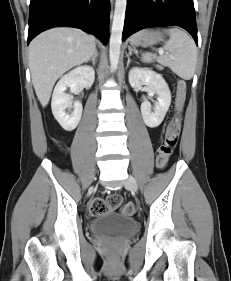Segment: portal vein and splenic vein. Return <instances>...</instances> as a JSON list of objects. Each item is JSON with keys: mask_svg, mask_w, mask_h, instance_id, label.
Instances as JSON below:
<instances>
[{"mask_svg": "<svg viewBox=\"0 0 231 281\" xmlns=\"http://www.w3.org/2000/svg\"><path fill=\"white\" fill-rule=\"evenodd\" d=\"M164 53H165V52H164L163 49H160V50H159V54H160V55H163Z\"/></svg>", "mask_w": 231, "mask_h": 281, "instance_id": "1", "label": "portal vein and splenic vein"}]
</instances>
